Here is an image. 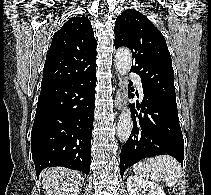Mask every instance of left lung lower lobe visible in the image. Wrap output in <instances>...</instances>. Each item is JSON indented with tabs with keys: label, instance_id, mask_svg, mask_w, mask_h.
I'll return each instance as SVG.
<instances>
[{
	"label": "left lung lower lobe",
	"instance_id": "0a47b994",
	"mask_svg": "<svg viewBox=\"0 0 211 195\" xmlns=\"http://www.w3.org/2000/svg\"><path fill=\"white\" fill-rule=\"evenodd\" d=\"M138 95V92H137ZM143 101L132 105L133 129L120 154L121 177L125 170L143 158L170 155L183 164L184 140L177 106L143 90Z\"/></svg>",
	"mask_w": 211,
	"mask_h": 195
}]
</instances>
